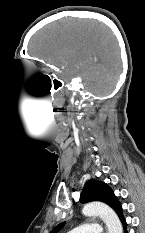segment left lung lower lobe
<instances>
[{
    "instance_id": "1",
    "label": "left lung lower lobe",
    "mask_w": 145,
    "mask_h": 233,
    "mask_svg": "<svg viewBox=\"0 0 145 233\" xmlns=\"http://www.w3.org/2000/svg\"><path fill=\"white\" fill-rule=\"evenodd\" d=\"M122 223H123V226L125 228V233H127V230H126V226H127L126 221L124 220V221H122Z\"/></svg>"
}]
</instances>
